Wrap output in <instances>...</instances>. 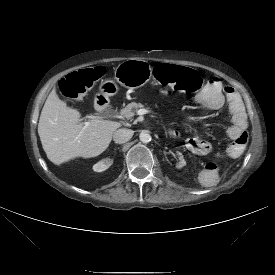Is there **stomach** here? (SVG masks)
<instances>
[{
	"label": "stomach",
	"mask_w": 275,
	"mask_h": 275,
	"mask_svg": "<svg viewBox=\"0 0 275 275\" xmlns=\"http://www.w3.org/2000/svg\"><path fill=\"white\" fill-rule=\"evenodd\" d=\"M152 76L151 66L144 60L128 59L114 69V79L121 86L136 89L146 84ZM113 80H106L100 85L101 95L113 96L118 87Z\"/></svg>",
	"instance_id": "obj_1"
}]
</instances>
